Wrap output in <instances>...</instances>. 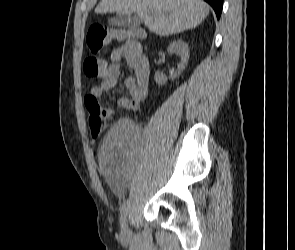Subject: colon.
<instances>
[{
    "label": "colon",
    "mask_w": 295,
    "mask_h": 250,
    "mask_svg": "<svg viewBox=\"0 0 295 250\" xmlns=\"http://www.w3.org/2000/svg\"><path fill=\"white\" fill-rule=\"evenodd\" d=\"M142 35L140 31L124 32L107 29L101 25H93L87 33V44L91 52L96 54L112 41L137 43ZM83 68L87 77L98 78L103 71V62L95 56H89L84 60ZM84 103L88 111L90 133L94 138L99 137L105 130L107 119L111 113L90 95L85 97Z\"/></svg>",
    "instance_id": "colon-1"
}]
</instances>
